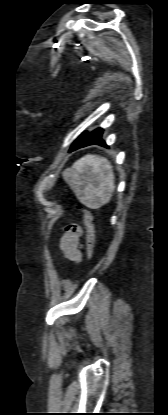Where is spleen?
Segmentation results:
<instances>
[{"instance_id": "3e777b00", "label": "spleen", "mask_w": 168, "mask_h": 415, "mask_svg": "<svg viewBox=\"0 0 168 415\" xmlns=\"http://www.w3.org/2000/svg\"><path fill=\"white\" fill-rule=\"evenodd\" d=\"M63 179L78 200L89 208L108 203L115 189L109 161L98 155H86L63 172Z\"/></svg>"}]
</instances>
